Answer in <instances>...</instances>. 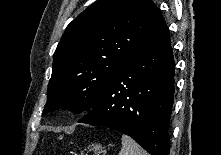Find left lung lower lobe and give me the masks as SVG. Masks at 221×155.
<instances>
[{
    "label": "left lung lower lobe",
    "mask_w": 221,
    "mask_h": 155,
    "mask_svg": "<svg viewBox=\"0 0 221 155\" xmlns=\"http://www.w3.org/2000/svg\"><path fill=\"white\" fill-rule=\"evenodd\" d=\"M174 69L169 30L161 15L78 122L122 132L151 155H169Z\"/></svg>",
    "instance_id": "0a47b994"
}]
</instances>
